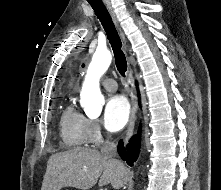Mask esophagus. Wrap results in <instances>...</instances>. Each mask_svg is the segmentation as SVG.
<instances>
[{
  "instance_id": "obj_1",
  "label": "esophagus",
  "mask_w": 221,
  "mask_h": 190,
  "mask_svg": "<svg viewBox=\"0 0 221 190\" xmlns=\"http://www.w3.org/2000/svg\"><path fill=\"white\" fill-rule=\"evenodd\" d=\"M103 1H104V4H105L108 12L110 13V16H111L114 24L116 25V27L120 31L121 38H122L123 43H124V49L126 51L127 50V48H126V40H125L124 34L122 33V31H121V29L119 27V23H118V20L116 18V15H115V12L113 10V7H112V5H111L109 0H103ZM127 83L129 85V91H130L131 113H130L128 127H127L126 135H125V141L126 142L129 140V138L133 134L134 125H135V119H136V111H137V97H136V91H135V86H134L133 71H132V68H131L130 65H129L128 71H127Z\"/></svg>"
}]
</instances>
